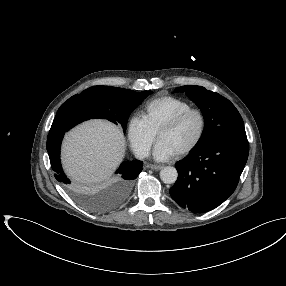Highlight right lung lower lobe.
Segmentation results:
<instances>
[{
    "instance_id": "obj_1",
    "label": "right lung lower lobe",
    "mask_w": 286,
    "mask_h": 286,
    "mask_svg": "<svg viewBox=\"0 0 286 286\" xmlns=\"http://www.w3.org/2000/svg\"><path fill=\"white\" fill-rule=\"evenodd\" d=\"M68 131L60 128L56 123L53 122L48 138H47V151L50 158L51 167L54 171V176L58 182L65 187H70L71 180L65 175L61 163H60V146L63 139L64 133ZM142 162L133 160L131 162H123L116 173L119 176L117 186L119 189V195L117 202H121V195H125L132 181L139 175L142 170Z\"/></svg>"
}]
</instances>
